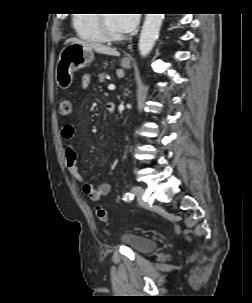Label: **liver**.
Returning a JSON list of instances; mask_svg holds the SVG:
<instances>
[{
    "mask_svg": "<svg viewBox=\"0 0 252 303\" xmlns=\"http://www.w3.org/2000/svg\"><path fill=\"white\" fill-rule=\"evenodd\" d=\"M67 43H80V44H84L88 47H90L91 49H94L96 52L101 53V54H105V55H112V56H118L119 52L115 49V48H111L108 47L106 45H103L101 43H94V42H85L82 41L80 39L77 38H70L66 41Z\"/></svg>",
    "mask_w": 252,
    "mask_h": 303,
    "instance_id": "liver-1",
    "label": "liver"
}]
</instances>
